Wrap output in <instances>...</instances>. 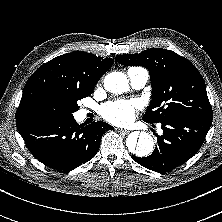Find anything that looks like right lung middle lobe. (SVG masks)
<instances>
[{
	"mask_svg": "<svg viewBox=\"0 0 222 222\" xmlns=\"http://www.w3.org/2000/svg\"><path fill=\"white\" fill-rule=\"evenodd\" d=\"M92 91H56L47 94L39 105V115L72 119V113L79 109L78 100L87 97Z\"/></svg>",
	"mask_w": 222,
	"mask_h": 222,
	"instance_id": "1",
	"label": "right lung middle lobe"
}]
</instances>
